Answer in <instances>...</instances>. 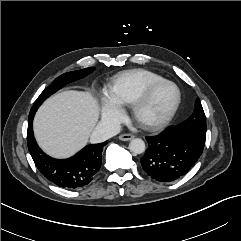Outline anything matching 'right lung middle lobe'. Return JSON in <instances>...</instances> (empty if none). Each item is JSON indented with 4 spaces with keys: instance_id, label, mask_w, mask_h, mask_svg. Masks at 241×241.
<instances>
[{
    "instance_id": "1",
    "label": "right lung middle lobe",
    "mask_w": 241,
    "mask_h": 241,
    "mask_svg": "<svg viewBox=\"0 0 241 241\" xmlns=\"http://www.w3.org/2000/svg\"><path fill=\"white\" fill-rule=\"evenodd\" d=\"M95 70V67H89L82 70L72 71L65 73L59 77H57L52 84H50L37 98L31 110H37L38 107L42 104V102L48 98L50 95L58 91L64 85L69 82L84 78L88 74L92 73Z\"/></svg>"
}]
</instances>
